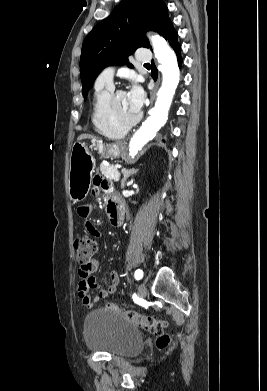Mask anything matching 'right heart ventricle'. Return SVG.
<instances>
[{
	"label": "right heart ventricle",
	"mask_w": 267,
	"mask_h": 391,
	"mask_svg": "<svg viewBox=\"0 0 267 391\" xmlns=\"http://www.w3.org/2000/svg\"><path fill=\"white\" fill-rule=\"evenodd\" d=\"M112 93V88L96 87L92 103V123L101 135L108 138L123 137L127 129L117 126L107 112V100Z\"/></svg>",
	"instance_id": "e07e8e85"
}]
</instances>
